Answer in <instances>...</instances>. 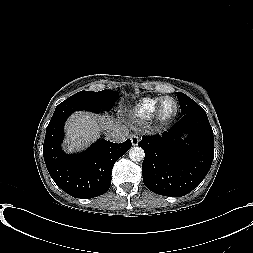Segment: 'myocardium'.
Masks as SVG:
<instances>
[{
	"label": "myocardium",
	"mask_w": 253,
	"mask_h": 253,
	"mask_svg": "<svg viewBox=\"0 0 253 253\" xmlns=\"http://www.w3.org/2000/svg\"><path fill=\"white\" fill-rule=\"evenodd\" d=\"M167 100L173 101V103L175 105L174 112L168 116H166L162 113V106H163L164 102ZM178 111H179V106H178V102L176 101L175 98H173L171 96L162 97L160 99V101L158 102V105H157L155 113H154L155 121L161 125H165L176 118Z\"/></svg>",
	"instance_id": "f54148a6"
}]
</instances>
